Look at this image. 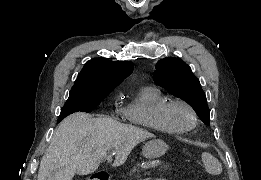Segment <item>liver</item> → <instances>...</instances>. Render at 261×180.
I'll list each match as a JSON object with an SVG mask.
<instances>
[{"mask_svg":"<svg viewBox=\"0 0 261 180\" xmlns=\"http://www.w3.org/2000/svg\"><path fill=\"white\" fill-rule=\"evenodd\" d=\"M147 138L154 134L110 116L93 118L76 112L56 128L40 162L38 180H73L76 174H93L110 150L116 154L113 166H122L133 148Z\"/></svg>","mask_w":261,"mask_h":180,"instance_id":"obj_1","label":"liver"}]
</instances>
